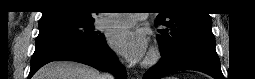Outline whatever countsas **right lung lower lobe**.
I'll use <instances>...</instances> for the list:
<instances>
[{
    "instance_id": "98d812e1",
    "label": "right lung lower lobe",
    "mask_w": 255,
    "mask_h": 79,
    "mask_svg": "<svg viewBox=\"0 0 255 79\" xmlns=\"http://www.w3.org/2000/svg\"><path fill=\"white\" fill-rule=\"evenodd\" d=\"M56 60L76 61L104 71H111L118 79H126V71L108 47L103 35L95 42L76 43L49 40L36 44L31 58L30 79L43 65Z\"/></svg>"
}]
</instances>
